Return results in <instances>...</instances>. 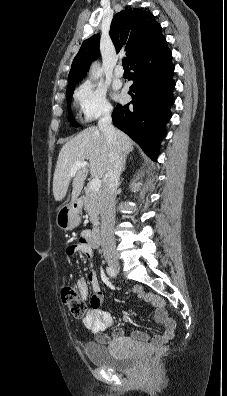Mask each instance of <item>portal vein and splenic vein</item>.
I'll list each match as a JSON object with an SVG mask.
<instances>
[{
    "mask_svg": "<svg viewBox=\"0 0 227 396\" xmlns=\"http://www.w3.org/2000/svg\"><path fill=\"white\" fill-rule=\"evenodd\" d=\"M86 166H88V163L86 161L76 162L71 168L70 176H74L78 169ZM100 187H101V180L99 178H93L89 184L90 190L99 191Z\"/></svg>",
    "mask_w": 227,
    "mask_h": 396,
    "instance_id": "obj_1",
    "label": "portal vein and splenic vein"
}]
</instances>
